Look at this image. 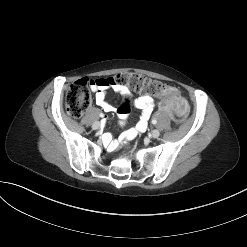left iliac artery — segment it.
<instances>
[{"label": "left iliac artery", "mask_w": 247, "mask_h": 247, "mask_svg": "<svg viewBox=\"0 0 247 247\" xmlns=\"http://www.w3.org/2000/svg\"><path fill=\"white\" fill-rule=\"evenodd\" d=\"M151 122H152V124L155 125L157 123V120L156 119H153Z\"/></svg>", "instance_id": "1"}]
</instances>
